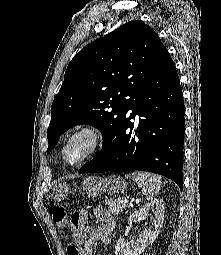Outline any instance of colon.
Wrapping results in <instances>:
<instances>
[{
    "mask_svg": "<svg viewBox=\"0 0 221 255\" xmlns=\"http://www.w3.org/2000/svg\"><path fill=\"white\" fill-rule=\"evenodd\" d=\"M48 210L52 220L60 228L71 227L75 232H82L86 227L87 212L84 209L72 213L70 217L66 210L57 204H51Z\"/></svg>",
    "mask_w": 221,
    "mask_h": 255,
    "instance_id": "5ec220e1",
    "label": "colon"
}]
</instances>
